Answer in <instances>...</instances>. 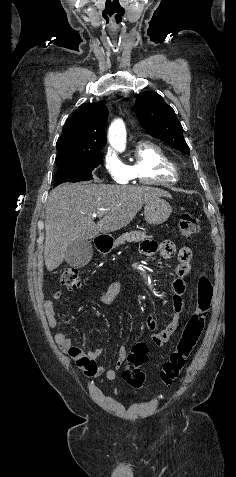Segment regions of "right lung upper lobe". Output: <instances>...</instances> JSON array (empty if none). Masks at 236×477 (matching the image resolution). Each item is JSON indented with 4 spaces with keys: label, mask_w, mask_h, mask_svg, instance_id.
<instances>
[{
    "label": "right lung upper lobe",
    "mask_w": 236,
    "mask_h": 477,
    "mask_svg": "<svg viewBox=\"0 0 236 477\" xmlns=\"http://www.w3.org/2000/svg\"><path fill=\"white\" fill-rule=\"evenodd\" d=\"M107 117L108 110L103 103L82 104L64 125L57 141L58 154L55 161L101 150L106 145Z\"/></svg>",
    "instance_id": "1"
}]
</instances>
